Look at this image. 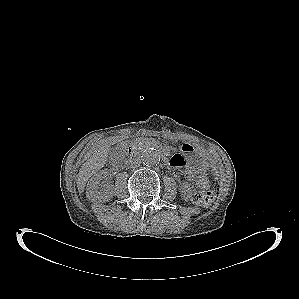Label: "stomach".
Masks as SVG:
<instances>
[{
	"label": "stomach",
	"instance_id": "1",
	"mask_svg": "<svg viewBox=\"0 0 299 299\" xmlns=\"http://www.w3.org/2000/svg\"><path fill=\"white\" fill-rule=\"evenodd\" d=\"M183 153L187 156L188 165L192 169L202 170L206 167V153L192 144H186L183 148Z\"/></svg>",
	"mask_w": 299,
	"mask_h": 299
}]
</instances>
